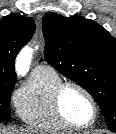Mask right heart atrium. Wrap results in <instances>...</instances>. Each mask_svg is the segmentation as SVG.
<instances>
[{"instance_id":"obj_1","label":"right heart atrium","mask_w":116,"mask_h":134,"mask_svg":"<svg viewBox=\"0 0 116 134\" xmlns=\"http://www.w3.org/2000/svg\"><path fill=\"white\" fill-rule=\"evenodd\" d=\"M22 90H17L14 94H13V100L16 103V100L18 99L19 95L21 94Z\"/></svg>"}]
</instances>
